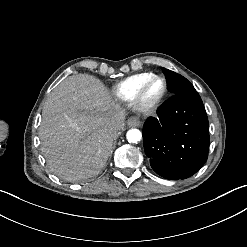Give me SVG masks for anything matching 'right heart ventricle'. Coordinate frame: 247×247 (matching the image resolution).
I'll return each mask as SVG.
<instances>
[{
  "mask_svg": "<svg viewBox=\"0 0 247 247\" xmlns=\"http://www.w3.org/2000/svg\"><path fill=\"white\" fill-rule=\"evenodd\" d=\"M154 73H142L127 77L118 82L112 89L119 102L129 103L132 101L138 86Z\"/></svg>",
  "mask_w": 247,
  "mask_h": 247,
  "instance_id": "1",
  "label": "right heart ventricle"
}]
</instances>
